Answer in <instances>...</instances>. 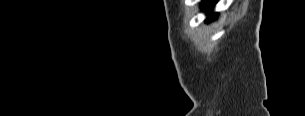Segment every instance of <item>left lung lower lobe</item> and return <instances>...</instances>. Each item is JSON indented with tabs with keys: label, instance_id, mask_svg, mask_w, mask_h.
<instances>
[{
	"label": "left lung lower lobe",
	"instance_id": "1",
	"mask_svg": "<svg viewBox=\"0 0 305 116\" xmlns=\"http://www.w3.org/2000/svg\"><path fill=\"white\" fill-rule=\"evenodd\" d=\"M216 3V1L215 0H204V2H203V9L204 10H210L211 9V7H213V5ZM216 18V15L215 14H211L210 16H209V19H215Z\"/></svg>",
	"mask_w": 305,
	"mask_h": 116
}]
</instances>
